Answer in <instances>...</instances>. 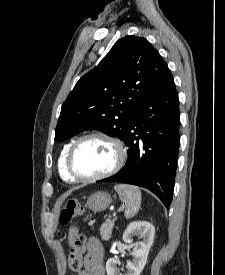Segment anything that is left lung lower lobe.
Segmentation results:
<instances>
[{"label": "left lung lower lobe", "mask_w": 225, "mask_h": 275, "mask_svg": "<svg viewBox=\"0 0 225 275\" xmlns=\"http://www.w3.org/2000/svg\"><path fill=\"white\" fill-rule=\"evenodd\" d=\"M179 100L172 74L146 99L123 139L125 166L99 182H121L149 189L168 208L172 201L179 148Z\"/></svg>", "instance_id": "obj_1"}]
</instances>
